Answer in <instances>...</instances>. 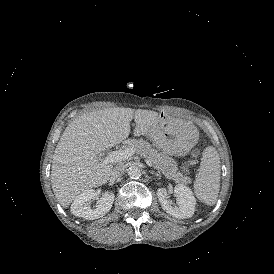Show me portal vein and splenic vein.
Wrapping results in <instances>:
<instances>
[{"mask_svg":"<svg viewBox=\"0 0 274 274\" xmlns=\"http://www.w3.org/2000/svg\"><path fill=\"white\" fill-rule=\"evenodd\" d=\"M135 154L133 148H124L123 150L111 151L106 156L99 157V160L102 163H116L122 160L128 159V157L133 156ZM147 165L152 167L153 164L147 160Z\"/></svg>","mask_w":274,"mask_h":274,"instance_id":"18ae733b","label":"portal vein and splenic vein"}]
</instances>
